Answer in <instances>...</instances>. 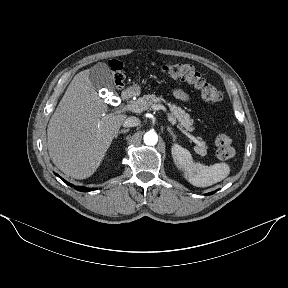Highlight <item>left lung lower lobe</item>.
I'll return each mask as SVG.
<instances>
[{
    "mask_svg": "<svg viewBox=\"0 0 288 288\" xmlns=\"http://www.w3.org/2000/svg\"><path fill=\"white\" fill-rule=\"evenodd\" d=\"M214 193V191L213 192H210V193H208L207 195H211V194H213Z\"/></svg>",
    "mask_w": 288,
    "mask_h": 288,
    "instance_id": "0a47b994",
    "label": "left lung lower lobe"
}]
</instances>
